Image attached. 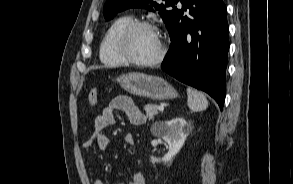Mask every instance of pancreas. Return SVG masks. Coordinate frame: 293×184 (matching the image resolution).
<instances>
[{"instance_id":"obj_1","label":"pancreas","mask_w":293,"mask_h":184,"mask_svg":"<svg viewBox=\"0 0 293 184\" xmlns=\"http://www.w3.org/2000/svg\"><path fill=\"white\" fill-rule=\"evenodd\" d=\"M144 110L146 112V116L149 120H153L154 117L158 114V106L147 104L144 106Z\"/></svg>"}]
</instances>
